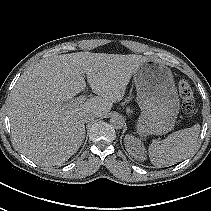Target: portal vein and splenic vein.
<instances>
[{"label":"portal vein and splenic vein","mask_w":211,"mask_h":211,"mask_svg":"<svg viewBox=\"0 0 211 211\" xmlns=\"http://www.w3.org/2000/svg\"><path fill=\"white\" fill-rule=\"evenodd\" d=\"M85 99H86L85 96H79L75 100H73L69 103H66V104L60 103L59 105H60V107H63V108L72 107V106H75V105L82 104L85 101Z\"/></svg>","instance_id":"1"}]
</instances>
